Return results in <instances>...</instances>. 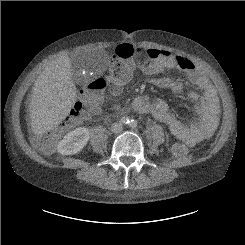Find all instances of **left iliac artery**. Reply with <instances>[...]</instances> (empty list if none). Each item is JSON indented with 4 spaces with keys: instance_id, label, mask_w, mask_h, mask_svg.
<instances>
[{
    "instance_id": "obj_1",
    "label": "left iliac artery",
    "mask_w": 245,
    "mask_h": 245,
    "mask_svg": "<svg viewBox=\"0 0 245 245\" xmlns=\"http://www.w3.org/2000/svg\"><path fill=\"white\" fill-rule=\"evenodd\" d=\"M136 125H137V122L135 120H131L130 121V126L131 127H136Z\"/></svg>"
}]
</instances>
